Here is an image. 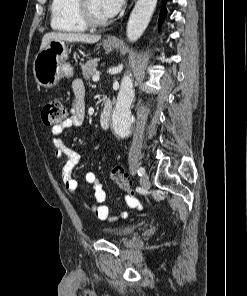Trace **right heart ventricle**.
Returning a JSON list of instances; mask_svg holds the SVG:
<instances>
[{
  "instance_id": "e07e8e85",
  "label": "right heart ventricle",
  "mask_w": 247,
  "mask_h": 296,
  "mask_svg": "<svg viewBox=\"0 0 247 296\" xmlns=\"http://www.w3.org/2000/svg\"><path fill=\"white\" fill-rule=\"evenodd\" d=\"M77 0H51L50 25L57 32L79 33L86 30L76 13Z\"/></svg>"
}]
</instances>
